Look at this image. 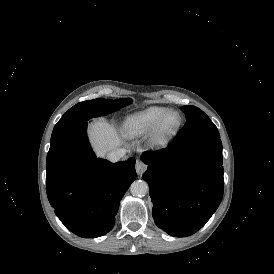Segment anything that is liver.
<instances>
[{"instance_id":"obj_1","label":"liver","mask_w":274,"mask_h":274,"mask_svg":"<svg viewBox=\"0 0 274 274\" xmlns=\"http://www.w3.org/2000/svg\"><path fill=\"white\" fill-rule=\"evenodd\" d=\"M88 135L98 157H105L108 152L115 151L122 145L116 128L104 118L94 120L89 125Z\"/></svg>"}]
</instances>
